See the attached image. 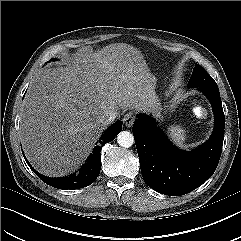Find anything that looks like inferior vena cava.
Here are the masks:
<instances>
[{
	"instance_id": "inferior-vena-cava-1",
	"label": "inferior vena cava",
	"mask_w": 241,
	"mask_h": 241,
	"mask_svg": "<svg viewBox=\"0 0 241 241\" xmlns=\"http://www.w3.org/2000/svg\"><path fill=\"white\" fill-rule=\"evenodd\" d=\"M117 114L113 111L110 112H106L101 118H100V123L102 125H109L111 123L114 122L115 118H116Z\"/></svg>"
}]
</instances>
